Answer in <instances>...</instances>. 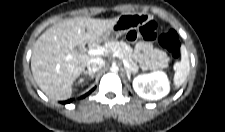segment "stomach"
<instances>
[{"label": "stomach", "mask_w": 225, "mask_h": 132, "mask_svg": "<svg viewBox=\"0 0 225 132\" xmlns=\"http://www.w3.org/2000/svg\"><path fill=\"white\" fill-rule=\"evenodd\" d=\"M122 18H124V17H122ZM126 18L128 20V17H125V20H126ZM123 32H124V30L117 27V23H116V25L114 27H112L111 29H109L105 33H103V35L101 36L100 39L103 41H115Z\"/></svg>", "instance_id": "0dacf381"}]
</instances>
